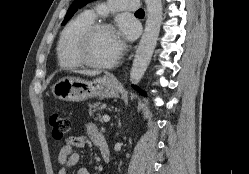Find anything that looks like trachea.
<instances>
[{"instance_id":"1","label":"trachea","mask_w":249,"mask_h":174,"mask_svg":"<svg viewBox=\"0 0 249 174\" xmlns=\"http://www.w3.org/2000/svg\"><path fill=\"white\" fill-rule=\"evenodd\" d=\"M135 14H144V10L143 9H139L135 12Z\"/></svg>"}]
</instances>
